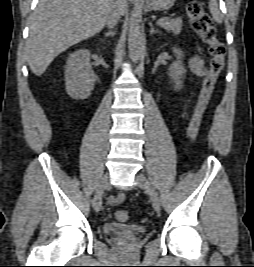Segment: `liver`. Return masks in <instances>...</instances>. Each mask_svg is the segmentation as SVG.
I'll use <instances>...</instances> for the list:
<instances>
[{
  "mask_svg": "<svg viewBox=\"0 0 254 267\" xmlns=\"http://www.w3.org/2000/svg\"><path fill=\"white\" fill-rule=\"evenodd\" d=\"M116 0H40L29 18L27 61L41 76L50 63L69 47L99 33ZM120 15L126 0H118Z\"/></svg>",
  "mask_w": 254,
  "mask_h": 267,
  "instance_id": "liver-1",
  "label": "liver"
}]
</instances>
